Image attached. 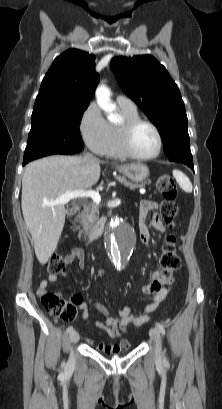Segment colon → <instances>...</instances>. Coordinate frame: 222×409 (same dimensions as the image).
<instances>
[{"mask_svg": "<svg viewBox=\"0 0 222 409\" xmlns=\"http://www.w3.org/2000/svg\"><path fill=\"white\" fill-rule=\"evenodd\" d=\"M157 188L164 200L160 206V216L171 223L178 212L176 202L177 190L173 179L167 175H160L157 179ZM65 257L60 253L51 256L47 270L50 274L61 273L65 268ZM159 269L165 274L166 281L172 280L175 271L181 267V260L176 250L175 238L167 237L159 258ZM40 295L44 309L51 315L65 320H70L76 315L75 306L58 292L45 291Z\"/></svg>", "mask_w": 222, "mask_h": 409, "instance_id": "colon-1", "label": "colon"}]
</instances>
